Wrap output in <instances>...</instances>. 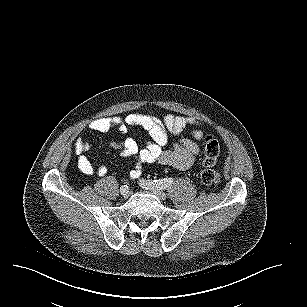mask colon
<instances>
[{
    "instance_id": "1",
    "label": "colon",
    "mask_w": 307,
    "mask_h": 307,
    "mask_svg": "<svg viewBox=\"0 0 307 307\" xmlns=\"http://www.w3.org/2000/svg\"><path fill=\"white\" fill-rule=\"evenodd\" d=\"M204 156L200 171V180L206 185H217L221 181L220 173L214 169L219 154V143L212 136L204 137Z\"/></svg>"
}]
</instances>
